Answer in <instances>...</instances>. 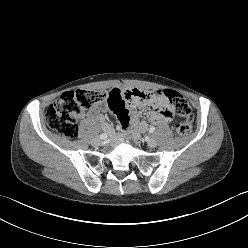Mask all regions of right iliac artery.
<instances>
[{
	"mask_svg": "<svg viewBox=\"0 0 248 248\" xmlns=\"http://www.w3.org/2000/svg\"><path fill=\"white\" fill-rule=\"evenodd\" d=\"M101 139H106L107 138V134H101L100 136H99Z\"/></svg>",
	"mask_w": 248,
	"mask_h": 248,
	"instance_id": "82829eb1",
	"label": "right iliac artery"
}]
</instances>
